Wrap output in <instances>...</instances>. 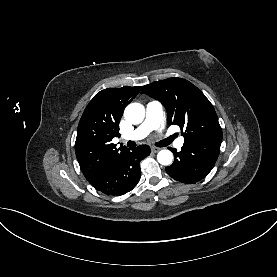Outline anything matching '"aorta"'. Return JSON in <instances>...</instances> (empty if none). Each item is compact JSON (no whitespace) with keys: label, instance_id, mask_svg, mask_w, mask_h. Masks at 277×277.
Segmentation results:
<instances>
[{"label":"aorta","instance_id":"1","mask_svg":"<svg viewBox=\"0 0 277 277\" xmlns=\"http://www.w3.org/2000/svg\"><path fill=\"white\" fill-rule=\"evenodd\" d=\"M125 119L131 124H139L145 117L144 106L140 103L129 104L124 111ZM161 165H170L173 161V154L170 150H161L157 155Z\"/></svg>","mask_w":277,"mask_h":277}]
</instances>
